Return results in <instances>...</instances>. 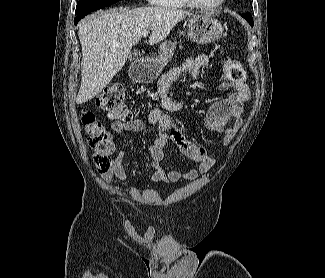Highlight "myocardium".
Returning <instances> with one entry per match:
<instances>
[{"instance_id": "myocardium-1", "label": "myocardium", "mask_w": 325, "mask_h": 278, "mask_svg": "<svg viewBox=\"0 0 325 278\" xmlns=\"http://www.w3.org/2000/svg\"><path fill=\"white\" fill-rule=\"evenodd\" d=\"M184 1L190 7H193L195 9H199V10L208 11V10H214V9L220 7L225 0H217L215 3L209 4V5L200 4L195 0H184Z\"/></svg>"}]
</instances>
